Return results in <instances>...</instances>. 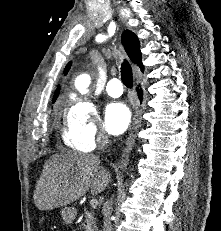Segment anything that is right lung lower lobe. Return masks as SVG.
<instances>
[{
	"mask_svg": "<svg viewBox=\"0 0 221 231\" xmlns=\"http://www.w3.org/2000/svg\"><path fill=\"white\" fill-rule=\"evenodd\" d=\"M137 91H138L139 96H140V99H141V96H142V90H141V89H138Z\"/></svg>",
	"mask_w": 221,
	"mask_h": 231,
	"instance_id": "98d812e1",
	"label": "right lung lower lobe"
}]
</instances>
